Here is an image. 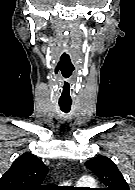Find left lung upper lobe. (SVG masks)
<instances>
[{
    "label": "left lung upper lobe",
    "mask_w": 135,
    "mask_h": 190,
    "mask_svg": "<svg viewBox=\"0 0 135 190\" xmlns=\"http://www.w3.org/2000/svg\"><path fill=\"white\" fill-rule=\"evenodd\" d=\"M85 165L104 183L106 188L103 190H129L123 175L109 158L97 157L87 161Z\"/></svg>",
    "instance_id": "obj_1"
}]
</instances>
